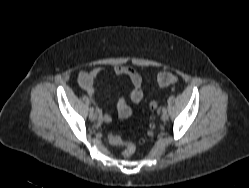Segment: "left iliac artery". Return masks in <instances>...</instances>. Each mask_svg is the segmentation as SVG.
<instances>
[{"instance_id": "obj_1", "label": "left iliac artery", "mask_w": 249, "mask_h": 188, "mask_svg": "<svg viewBox=\"0 0 249 188\" xmlns=\"http://www.w3.org/2000/svg\"><path fill=\"white\" fill-rule=\"evenodd\" d=\"M162 112H163V113H166V112H167V108L164 107V108L162 109Z\"/></svg>"}]
</instances>
